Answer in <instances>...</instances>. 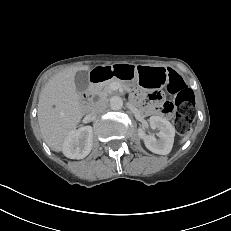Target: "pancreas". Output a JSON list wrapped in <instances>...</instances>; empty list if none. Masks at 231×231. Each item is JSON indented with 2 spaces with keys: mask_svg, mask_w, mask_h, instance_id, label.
<instances>
[{
  "mask_svg": "<svg viewBox=\"0 0 231 231\" xmlns=\"http://www.w3.org/2000/svg\"><path fill=\"white\" fill-rule=\"evenodd\" d=\"M113 83H117L119 84L120 86H124L123 82L119 81L118 79H114V80H111V81H108V82H105L103 83L100 88H99V92H100V95L102 96H105L107 95L108 93L111 92V86Z\"/></svg>",
  "mask_w": 231,
  "mask_h": 231,
  "instance_id": "pancreas-1",
  "label": "pancreas"
}]
</instances>
